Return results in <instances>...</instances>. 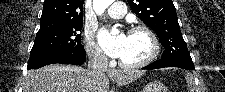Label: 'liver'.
<instances>
[{"label": "liver", "mask_w": 225, "mask_h": 92, "mask_svg": "<svg viewBox=\"0 0 225 92\" xmlns=\"http://www.w3.org/2000/svg\"><path fill=\"white\" fill-rule=\"evenodd\" d=\"M139 70H113L107 73H90L75 65H48L29 71L24 92H108L109 80L118 86L132 83L143 75Z\"/></svg>", "instance_id": "obj_1"}]
</instances>
